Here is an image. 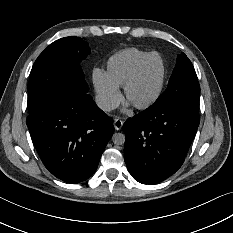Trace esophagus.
I'll return each instance as SVG.
<instances>
[{"mask_svg":"<svg viewBox=\"0 0 233 233\" xmlns=\"http://www.w3.org/2000/svg\"><path fill=\"white\" fill-rule=\"evenodd\" d=\"M122 125H123V121L121 119H115L114 121V127L115 129L118 131L122 128Z\"/></svg>","mask_w":233,"mask_h":233,"instance_id":"esophagus-1","label":"esophagus"}]
</instances>
